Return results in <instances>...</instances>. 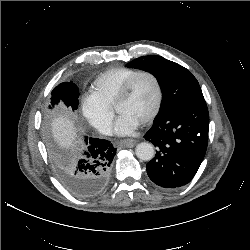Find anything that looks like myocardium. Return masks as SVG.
Segmentation results:
<instances>
[{"mask_svg":"<svg viewBox=\"0 0 250 250\" xmlns=\"http://www.w3.org/2000/svg\"><path fill=\"white\" fill-rule=\"evenodd\" d=\"M142 76H149L154 84H155V88H156V105L152 111V113L145 119L143 120L140 125L142 126H146L150 123H152L156 117L159 115L160 110L162 108V104H163V88H162V84L158 78V76L151 72V71H139L137 74H135L133 77H131L121 88V90L119 91L118 95L115 98L114 104H113V108L116 112L117 108L120 104H122L124 101L127 100V98L129 97L135 83L137 82V80L142 77Z\"/></svg>","mask_w":250,"mask_h":250,"instance_id":"f54148a6","label":"myocardium"}]
</instances>
